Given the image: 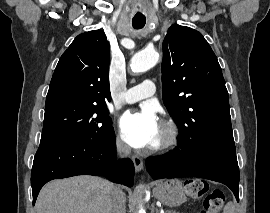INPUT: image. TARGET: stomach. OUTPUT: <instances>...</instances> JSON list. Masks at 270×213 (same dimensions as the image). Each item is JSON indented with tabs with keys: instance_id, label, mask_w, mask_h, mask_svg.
I'll return each instance as SVG.
<instances>
[{
	"instance_id": "0dacf381",
	"label": "stomach",
	"mask_w": 270,
	"mask_h": 213,
	"mask_svg": "<svg viewBox=\"0 0 270 213\" xmlns=\"http://www.w3.org/2000/svg\"><path fill=\"white\" fill-rule=\"evenodd\" d=\"M153 195L169 207H176L186 199L182 182L178 179H167L154 183Z\"/></svg>"
}]
</instances>
